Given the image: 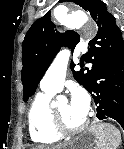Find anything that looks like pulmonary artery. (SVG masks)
Wrapping results in <instances>:
<instances>
[{"instance_id":"pulmonary-artery-1","label":"pulmonary artery","mask_w":124,"mask_h":149,"mask_svg":"<svg viewBox=\"0 0 124 149\" xmlns=\"http://www.w3.org/2000/svg\"><path fill=\"white\" fill-rule=\"evenodd\" d=\"M68 64V53L61 51L43 77L41 88L48 92H59L64 84Z\"/></svg>"}]
</instances>
